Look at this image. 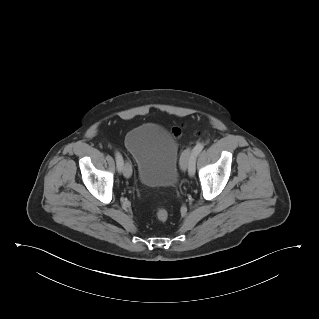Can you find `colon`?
<instances>
[{"instance_id":"obj_1","label":"colon","mask_w":319,"mask_h":319,"mask_svg":"<svg viewBox=\"0 0 319 319\" xmlns=\"http://www.w3.org/2000/svg\"><path fill=\"white\" fill-rule=\"evenodd\" d=\"M174 134L175 135H179L180 134V130L179 129H174ZM169 217V212L168 210L163 207V206H158L157 209H156V218L159 220V221H166Z\"/></svg>"}]
</instances>
